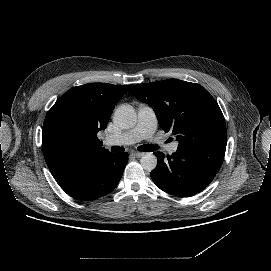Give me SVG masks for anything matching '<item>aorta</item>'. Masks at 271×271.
Instances as JSON below:
<instances>
[{"label":"aorta","instance_id":"762f6f07","mask_svg":"<svg viewBox=\"0 0 271 271\" xmlns=\"http://www.w3.org/2000/svg\"><path fill=\"white\" fill-rule=\"evenodd\" d=\"M114 124L122 129L133 128L137 123V114L133 106L123 104L117 108L113 116ZM145 171L151 172L157 166V157L151 153H145L140 160Z\"/></svg>","mask_w":271,"mask_h":271}]
</instances>
